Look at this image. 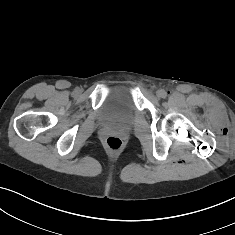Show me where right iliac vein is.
<instances>
[{
  "mask_svg": "<svg viewBox=\"0 0 235 235\" xmlns=\"http://www.w3.org/2000/svg\"><path fill=\"white\" fill-rule=\"evenodd\" d=\"M80 92H81V89H80V88H76V89H75V93H76V94H79Z\"/></svg>",
  "mask_w": 235,
  "mask_h": 235,
  "instance_id": "obj_1",
  "label": "right iliac vein"
}]
</instances>
